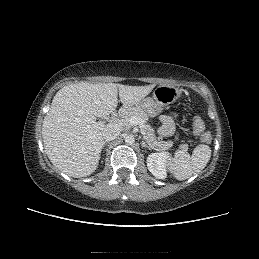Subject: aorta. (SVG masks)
Wrapping results in <instances>:
<instances>
[{"instance_id":"obj_1","label":"aorta","mask_w":259,"mask_h":259,"mask_svg":"<svg viewBox=\"0 0 259 259\" xmlns=\"http://www.w3.org/2000/svg\"><path fill=\"white\" fill-rule=\"evenodd\" d=\"M124 140H125V143H126L127 145H132V144H134V142H135V138H134L133 135H127V136H125Z\"/></svg>"}]
</instances>
